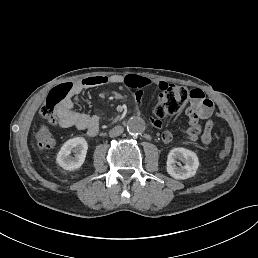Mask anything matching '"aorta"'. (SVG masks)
<instances>
[{"label": "aorta", "mask_w": 258, "mask_h": 258, "mask_svg": "<svg viewBox=\"0 0 258 258\" xmlns=\"http://www.w3.org/2000/svg\"><path fill=\"white\" fill-rule=\"evenodd\" d=\"M126 126H127V131L130 134L138 135L143 133V131L145 130V121L139 116L131 117L127 121Z\"/></svg>", "instance_id": "obj_1"}]
</instances>
